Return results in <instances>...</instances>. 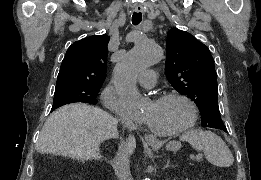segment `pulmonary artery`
Listing matches in <instances>:
<instances>
[{
    "instance_id": "obj_1",
    "label": "pulmonary artery",
    "mask_w": 261,
    "mask_h": 180,
    "mask_svg": "<svg viewBox=\"0 0 261 180\" xmlns=\"http://www.w3.org/2000/svg\"><path fill=\"white\" fill-rule=\"evenodd\" d=\"M151 66L152 65L149 66V69H144V73L138 75L137 79L141 83V89L154 88V84L157 80V73L151 69Z\"/></svg>"
}]
</instances>
